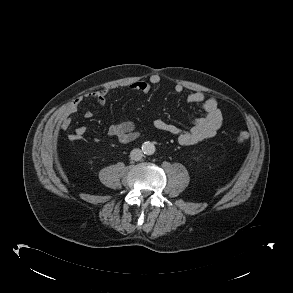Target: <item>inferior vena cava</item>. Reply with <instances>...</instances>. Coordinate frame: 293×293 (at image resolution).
Wrapping results in <instances>:
<instances>
[{
    "label": "inferior vena cava",
    "instance_id": "inferior-vena-cava-1",
    "mask_svg": "<svg viewBox=\"0 0 293 293\" xmlns=\"http://www.w3.org/2000/svg\"><path fill=\"white\" fill-rule=\"evenodd\" d=\"M131 160L138 161L142 158V151L139 148H135L130 152Z\"/></svg>",
    "mask_w": 293,
    "mask_h": 293
}]
</instances>
